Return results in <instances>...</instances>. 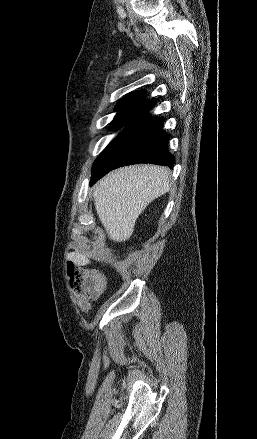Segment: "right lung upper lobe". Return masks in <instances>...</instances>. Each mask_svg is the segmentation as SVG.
<instances>
[{
  "label": "right lung upper lobe",
  "mask_w": 257,
  "mask_h": 439,
  "mask_svg": "<svg viewBox=\"0 0 257 439\" xmlns=\"http://www.w3.org/2000/svg\"><path fill=\"white\" fill-rule=\"evenodd\" d=\"M145 90L132 92L124 97L116 106L118 113L115 119L132 121L150 110L155 102L145 100Z\"/></svg>",
  "instance_id": "1"
}]
</instances>
